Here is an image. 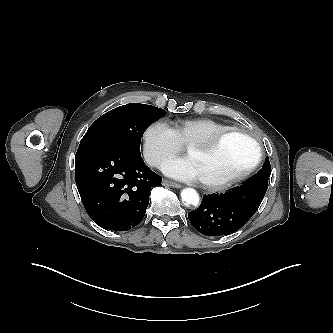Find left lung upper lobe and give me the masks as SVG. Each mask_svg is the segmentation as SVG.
<instances>
[{"label":"left lung upper lobe","mask_w":333,"mask_h":333,"mask_svg":"<svg viewBox=\"0 0 333 333\" xmlns=\"http://www.w3.org/2000/svg\"><path fill=\"white\" fill-rule=\"evenodd\" d=\"M270 174H271L270 162L269 158L267 157L265 159V163L262 169L259 172H257L253 177H251L249 180H247L244 184H251L258 182L268 183Z\"/></svg>","instance_id":"obj_1"}]
</instances>
